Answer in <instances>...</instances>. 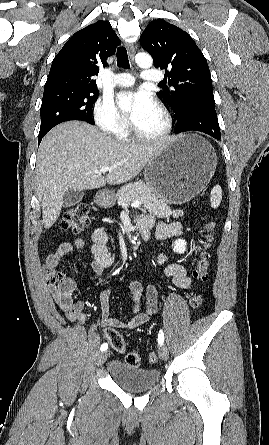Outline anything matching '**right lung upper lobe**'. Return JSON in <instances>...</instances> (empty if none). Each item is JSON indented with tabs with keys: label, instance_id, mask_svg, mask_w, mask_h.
Returning a JSON list of instances; mask_svg holds the SVG:
<instances>
[{
	"label": "right lung upper lobe",
	"instance_id": "cb5924a9",
	"mask_svg": "<svg viewBox=\"0 0 269 445\" xmlns=\"http://www.w3.org/2000/svg\"><path fill=\"white\" fill-rule=\"evenodd\" d=\"M121 44L110 23L97 21L76 32L53 59L44 86L45 91L57 89L97 90L94 76L99 64L107 65V58Z\"/></svg>",
	"mask_w": 269,
	"mask_h": 445
}]
</instances>
